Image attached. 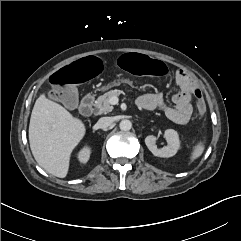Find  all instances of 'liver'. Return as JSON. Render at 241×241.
<instances>
[{
    "label": "liver",
    "mask_w": 241,
    "mask_h": 241,
    "mask_svg": "<svg viewBox=\"0 0 241 241\" xmlns=\"http://www.w3.org/2000/svg\"><path fill=\"white\" fill-rule=\"evenodd\" d=\"M85 132L80 119L45 94L36 100L29 124L30 148L38 165L49 174L67 176L70 155Z\"/></svg>",
    "instance_id": "6515ba94"
}]
</instances>
